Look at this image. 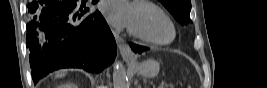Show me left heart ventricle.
Segmentation results:
<instances>
[{"mask_svg": "<svg viewBox=\"0 0 267 88\" xmlns=\"http://www.w3.org/2000/svg\"><path fill=\"white\" fill-rule=\"evenodd\" d=\"M129 27L156 41L167 40L172 36V29L168 21L156 11L144 6H133Z\"/></svg>", "mask_w": 267, "mask_h": 88, "instance_id": "obj_1", "label": "left heart ventricle"}]
</instances>
